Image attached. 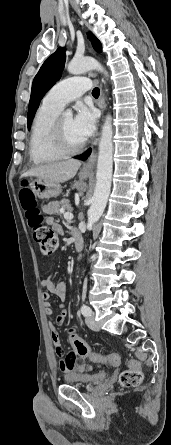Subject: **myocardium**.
Listing matches in <instances>:
<instances>
[{"label":"myocardium","instance_id":"f54148a6","mask_svg":"<svg viewBox=\"0 0 171 445\" xmlns=\"http://www.w3.org/2000/svg\"><path fill=\"white\" fill-rule=\"evenodd\" d=\"M50 138L53 147L63 155H71L81 151L86 141H82L78 145H70L66 141L62 127V116H58L54 119L50 129Z\"/></svg>","mask_w":171,"mask_h":445}]
</instances>
